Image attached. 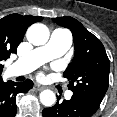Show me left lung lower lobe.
<instances>
[{"label":"left lung lower lobe","mask_w":117,"mask_h":117,"mask_svg":"<svg viewBox=\"0 0 117 117\" xmlns=\"http://www.w3.org/2000/svg\"><path fill=\"white\" fill-rule=\"evenodd\" d=\"M59 100L60 97L53 107L43 109V117H91L98 109L74 94L70 100Z\"/></svg>","instance_id":"0a47b994"}]
</instances>
